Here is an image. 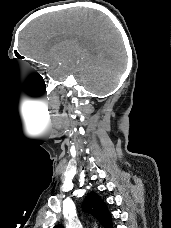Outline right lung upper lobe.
<instances>
[{"label":"right lung upper lobe","mask_w":171,"mask_h":228,"mask_svg":"<svg viewBox=\"0 0 171 228\" xmlns=\"http://www.w3.org/2000/svg\"><path fill=\"white\" fill-rule=\"evenodd\" d=\"M83 210L93 215L104 228H112L111 215L99 195L91 192L83 202ZM54 228H63L56 225Z\"/></svg>","instance_id":"obj_1"}]
</instances>
